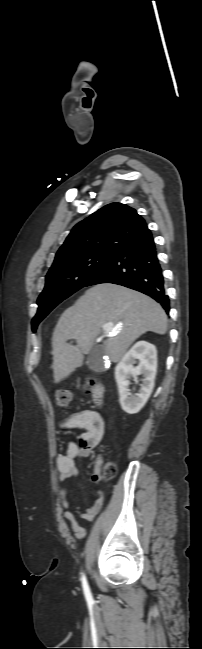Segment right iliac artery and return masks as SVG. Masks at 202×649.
Masks as SVG:
<instances>
[{"mask_svg": "<svg viewBox=\"0 0 202 649\" xmlns=\"http://www.w3.org/2000/svg\"><path fill=\"white\" fill-rule=\"evenodd\" d=\"M81 580H82V586H83L84 594H85V596L87 598H90L91 594H90L89 586H88V583H87V580H86V577H85L84 574L82 575Z\"/></svg>", "mask_w": 202, "mask_h": 649, "instance_id": "1", "label": "right iliac artery"}]
</instances>
